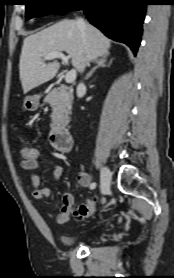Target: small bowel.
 Returning <instances> with one entry per match:
<instances>
[{"instance_id": "1", "label": "small bowel", "mask_w": 174, "mask_h": 278, "mask_svg": "<svg viewBox=\"0 0 174 278\" xmlns=\"http://www.w3.org/2000/svg\"><path fill=\"white\" fill-rule=\"evenodd\" d=\"M42 164H47L52 167V176L54 181H57L63 172V169L60 165L52 162L51 160L41 158L39 154L34 159L22 160V168L29 172V179L33 187L32 197L36 200H43L47 197H50L54 191V189L50 187L39 188V177L34 173V171ZM77 180L80 186L91 189L93 182L89 173L80 172L77 176ZM73 205V194L71 192H66L62 198V206L56 216V222L58 224H64L69 220Z\"/></svg>"}]
</instances>
